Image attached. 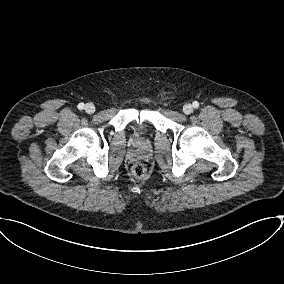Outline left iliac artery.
<instances>
[{"mask_svg":"<svg viewBox=\"0 0 284 284\" xmlns=\"http://www.w3.org/2000/svg\"><path fill=\"white\" fill-rule=\"evenodd\" d=\"M193 107L194 108H198L199 107V102L198 101H194L193 102Z\"/></svg>","mask_w":284,"mask_h":284,"instance_id":"44dca946","label":"left iliac artery"}]
</instances>
